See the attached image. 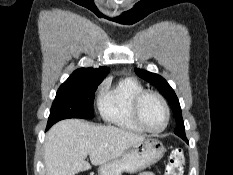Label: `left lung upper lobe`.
Segmentation results:
<instances>
[{
	"label": "left lung upper lobe",
	"mask_w": 233,
	"mask_h": 175,
	"mask_svg": "<svg viewBox=\"0 0 233 175\" xmlns=\"http://www.w3.org/2000/svg\"><path fill=\"white\" fill-rule=\"evenodd\" d=\"M135 72L139 77L143 78L144 80L150 82L155 87H157L161 94L167 98L176 118L177 127L174 132L176 135L187 141L185 136V127L182 119L180 104L174 90L160 75L140 69H135Z\"/></svg>",
	"instance_id": "left-lung-upper-lobe-1"
}]
</instances>
